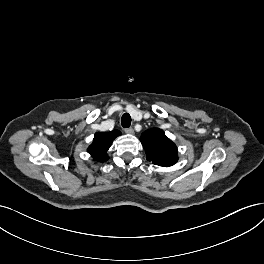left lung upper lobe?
Wrapping results in <instances>:
<instances>
[{
  "label": "left lung upper lobe",
  "instance_id": "left-lung-upper-lobe-1",
  "mask_svg": "<svg viewBox=\"0 0 264 264\" xmlns=\"http://www.w3.org/2000/svg\"><path fill=\"white\" fill-rule=\"evenodd\" d=\"M140 141L147 154V160L155 165L169 167L177 160L176 145L165 136L163 130L152 128L141 134Z\"/></svg>",
  "mask_w": 264,
  "mask_h": 264
}]
</instances>
